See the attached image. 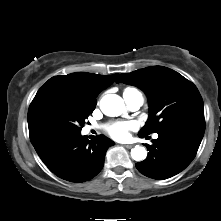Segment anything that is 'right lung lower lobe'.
Returning a JSON list of instances; mask_svg holds the SVG:
<instances>
[{
    "label": "right lung lower lobe",
    "mask_w": 221,
    "mask_h": 221,
    "mask_svg": "<svg viewBox=\"0 0 221 221\" xmlns=\"http://www.w3.org/2000/svg\"><path fill=\"white\" fill-rule=\"evenodd\" d=\"M37 154L61 179L81 183L95 177L114 142L104 135L89 141L81 134H44L30 138Z\"/></svg>",
    "instance_id": "98d812e1"
}]
</instances>
